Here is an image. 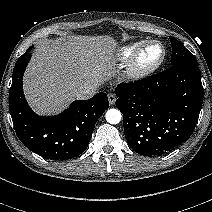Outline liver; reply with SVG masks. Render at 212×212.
<instances>
[{"label": "liver", "instance_id": "1", "mask_svg": "<svg viewBox=\"0 0 212 212\" xmlns=\"http://www.w3.org/2000/svg\"><path fill=\"white\" fill-rule=\"evenodd\" d=\"M114 42L103 36H70L38 46L23 80L26 99L39 114L61 111L85 84L110 75Z\"/></svg>", "mask_w": 212, "mask_h": 212}]
</instances>
